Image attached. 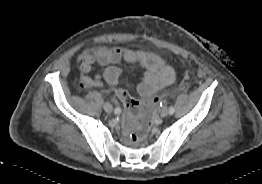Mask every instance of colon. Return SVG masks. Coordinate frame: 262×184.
I'll use <instances>...</instances> for the list:
<instances>
[{"instance_id":"obj_1","label":"colon","mask_w":262,"mask_h":184,"mask_svg":"<svg viewBox=\"0 0 262 184\" xmlns=\"http://www.w3.org/2000/svg\"><path fill=\"white\" fill-rule=\"evenodd\" d=\"M116 96L126 109V127L129 139L133 143L143 140L149 130L152 110L160 103V97H154L145 103L134 100L124 89H117Z\"/></svg>"}]
</instances>
